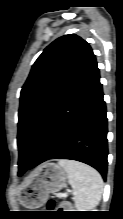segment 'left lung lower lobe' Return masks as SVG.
Listing matches in <instances>:
<instances>
[{
    "label": "left lung lower lobe",
    "mask_w": 123,
    "mask_h": 219,
    "mask_svg": "<svg viewBox=\"0 0 123 219\" xmlns=\"http://www.w3.org/2000/svg\"><path fill=\"white\" fill-rule=\"evenodd\" d=\"M107 155L106 106L95 61L56 111L25 172L49 159H71L94 167L106 179Z\"/></svg>",
    "instance_id": "left-lung-lower-lobe-1"
}]
</instances>
